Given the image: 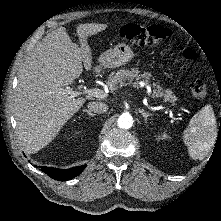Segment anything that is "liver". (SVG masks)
I'll use <instances>...</instances> for the list:
<instances>
[{
	"label": "liver",
	"mask_w": 221,
	"mask_h": 221,
	"mask_svg": "<svg viewBox=\"0 0 221 221\" xmlns=\"http://www.w3.org/2000/svg\"><path fill=\"white\" fill-rule=\"evenodd\" d=\"M107 24L87 23L76 27L73 43L64 27L47 34L19 71L14 97L17 131L26 151L35 153L58 134L84 105L85 98H71L65 88L83 71L92 68L88 37Z\"/></svg>",
	"instance_id": "obj_1"
}]
</instances>
